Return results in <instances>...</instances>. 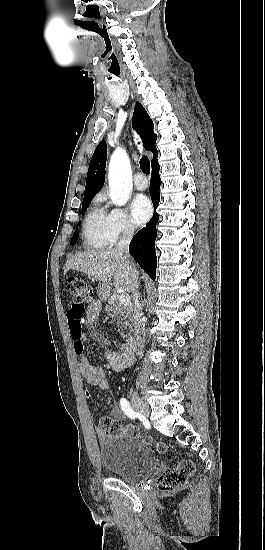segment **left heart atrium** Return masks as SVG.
<instances>
[{
  "mask_svg": "<svg viewBox=\"0 0 265 550\" xmlns=\"http://www.w3.org/2000/svg\"><path fill=\"white\" fill-rule=\"evenodd\" d=\"M131 216L135 224L143 225L152 214V205L145 195H137L130 205Z\"/></svg>",
  "mask_w": 265,
  "mask_h": 550,
  "instance_id": "39dd6f15",
  "label": "left heart atrium"
}]
</instances>
